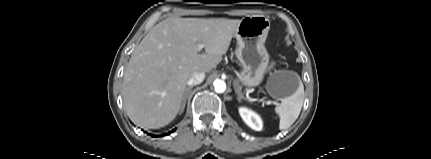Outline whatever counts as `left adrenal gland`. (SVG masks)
<instances>
[{
    "label": "left adrenal gland",
    "instance_id": "obj_1",
    "mask_svg": "<svg viewBox=\"0 0 431 159\" xmlns=\"http://www.w3.org/2000/svg\"><path fill=\"white\" fill-rule=\"evenodd\" d=\"M235 92H236V94L238 95V97H237V99H238V101L239 102H241V100L243 99V100H248L243 94H242V92H241V89H239V88H236L235 89Z\"/></svg>",
    "mask_w": 431,
    "mask_h": 159
}]
</instances>
